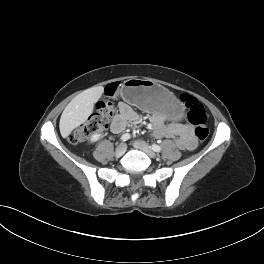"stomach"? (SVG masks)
I'll return each mask as SVG.
<instances>
[{"instance_id":"obj_1","label":"stomach","mask_w":264,"mask_h":264,"mask_svg":"<svg viewBox=\"0 0 264 264\" xmlns=\"http://www.w3.org/2000/svg\"><path fill=\"white\" fill-rule=\"evenodd\" d=\"M122 97L128 103L146 111H160L173 119H179L182 116V107L175 96L151 80L137 78L126 80Z\"/></svg>"}]
</instances>
